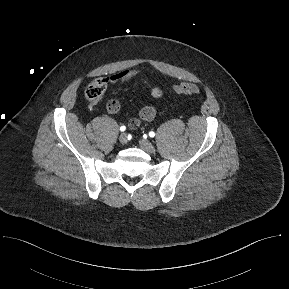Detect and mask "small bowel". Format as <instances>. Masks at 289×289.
<instances>
[{
    "label": "small bowel",
    "instance_id": "obj_1",
    "mask_svg": "<svg viewBox=\"0 0 289 289\" xmlns=\"http://www.w3.org/2000/svg\"><path fill=\"white\" fill-rule=\"evenodd\" d=\"M141 73L142 72L140 70L128 69V70H124V71L120 72L119 74L113 76L111 78V80L113 83L119 81L121 85H124V84L130 82L131 80L138 77L140 82L149 90L152 97H154V98L162 97L164 94V91L159 87L152 86L148 82V80L141 75ZM111 103L115 105V109H110L107 106V110L109 113L115 114L119 110V103L116 100H111ZM156 112L157 111H156L155 106H153V105L144 106L139 111V113L136 117H133L129 120V122H128L129 128L130 129H136L141 125L142 122H148V121L153 120L156 116Z\"/></svg>",
    "mask_w": 289,
    "mask_h": 289
}]
</instances>
